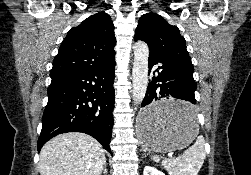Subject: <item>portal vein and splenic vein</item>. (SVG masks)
Segmentation results:
<instances>
[{
  "instance_id": "portal-vein-and-splenic-vein-1",
  "label": "portal vein and splenic vein",
  "mask_w": 251,
  "mask_h": 175,
  "mask_svg": "<svg viewBox=\"0 0 251 175\" xmlns=\"http://www.w3.org/2000/svg\"><path fill=\"white\" fill-rule=\"evenodd\" d=\"M176 155V152L175 151H170L169 153H166L165 154V157L166 158H170L171 156H175Z\"/></svg>"
}]
</instances>
